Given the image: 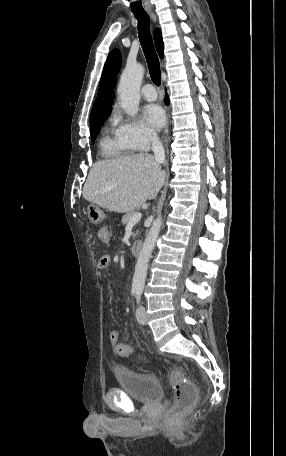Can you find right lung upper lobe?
Masks as SVG:
<instances>
[{
	"label": "right lung upper lobe",
	"instance_id": "cb5924a9",
	"mask_svg": "<svg viewBox=\"0 0 286 456\" xmlns=\"http://www.w3.org/2000/svg\"><path fill=\"white\" fill-rule=\"evenodd\" d=\"M154 40L159 56L163 57V40L159 29L154 31ZM121 54L118 49L109 53L100 79V86L97 98L94 102L90 121L111 111L113 103V88L116 81L117 73L121 67Z\"/></svg>",
	"mask_w": 286,
	"mask_h": 456
}]
</instances>
